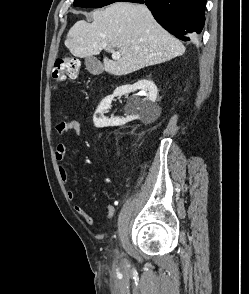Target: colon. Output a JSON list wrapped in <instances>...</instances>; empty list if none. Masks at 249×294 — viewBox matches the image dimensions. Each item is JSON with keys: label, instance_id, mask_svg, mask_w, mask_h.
<instances>
[{"label": "colon", "instance_id": "obj_1", "mask_svg": "<svg viewBox=\"0 0 249 294\" xmlns=\"http://www.w3.org/2000/svg\"><path fill=\"white\" fill-rule=\"evenodd\" d=\"M78 77V60L68 56H62L57 58L52 73V78L56 86L62 85L67 80H75Z\"/></svg>", "mask_w": 249, "mask_h": 294}]
</instances>
